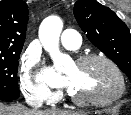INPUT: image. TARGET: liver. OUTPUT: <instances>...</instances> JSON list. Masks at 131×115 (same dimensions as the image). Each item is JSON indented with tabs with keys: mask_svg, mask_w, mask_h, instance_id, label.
Here are the masks:
<instances>
[{
	"mask_svg": "<svg viewBox=\"0 0 131 115\" xmlns=\"http://www.w3.org/2000/svg\"><path fill=\"white\" fill-rule=\"evenodd\" d=\"M0 115H78L76 112L60 111L56 109L37 111L26 108L23 105L5 106L0 103Z\"/></svg>",
	"mask_w": 131,
	"mask_h": 115,
	"instance_id": "6515ba94",
	"label": "liver"
}]
</instances>
